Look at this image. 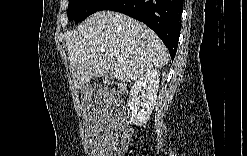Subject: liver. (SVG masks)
I'll list each match as a JSON object with an SVG mask.
<instances>
[{
  "mask_svg": "<svg viewBox=\"0 0 247 156\" xmlns=\"http://www.w3.org/2000/svg\"><path fill=\"white\" fill-rule=\"evenodd\" d=\"M66 50L78 89L92 76L135 81L169 61L167 48L151 29L114 11L96 12L68 32Z\"/></svg>",
  "mask_w": 247,
  "mask_h": 156,
  "instance_id": "obj_1",
  "label": "liver"
}]
</instances>
